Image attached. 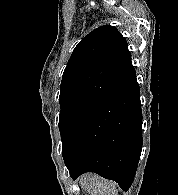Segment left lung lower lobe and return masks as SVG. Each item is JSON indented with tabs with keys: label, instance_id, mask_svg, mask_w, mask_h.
I'll return each instance as SVG.
<instances>
[{
	"label": "left lung lower lobe",
	"instance_id": "0a47b994",
	"mask_svg": "<svg viewBox=\"0 0 178 195\" xmlns=\"http://www.w3.org/2000/svg\"><path fill=\"white\" fill-rule=\"evenodd\" d=\"M142 149L140 88L136 77L74 136L62 151L70 176L95 172L128 190Z\"/></svg>",
	"mask_w": 178,
	"mask_h": 195
}]
</instances>
